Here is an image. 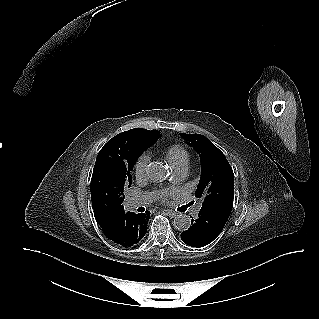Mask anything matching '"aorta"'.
Segmentation results:
<instances>
[{
  "label": "aorta",
  "mask_w": 319,
  "mask_h": 319,
  "mask_svg": "<svg viewBox=\"0 0 319 319\" xmlns=\"http://www.w3.org/2000/svg\"><path fill=\"white\" fill-rule=\"evenodd\" d=\"M146 173L149 179L153 182H162L167 178L168 171L162 162H151L147 168ZM173 225L180 231H185L191 226V219L186 214H179L174 218Z\"/></svg>",
  "instance_id": "762f6f07"
}]
</instances>
